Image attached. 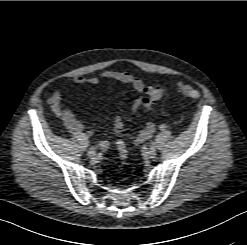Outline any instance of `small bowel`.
<instances>
[{
    "label": "small bowel",
    "instance_id": "obj_1",
    "mask_svg": "<svg viewBox=\"0 0 247 245\" xmlns=\"http://www.w3.org/2000/svg\"><path fill=\"white\" fill-rule=\"evenodd\" d=\"M101 79L114 80L119 83L131 86L138 94L137 98L132 104V112H137L140 109H143L145 112H151L152 103L149 98L145 96L146 91L148 90L145 83L136 77L135 75L119 70H105L99 76H77L74 78L73 82L76 85L90 84L97 85L100 83ZM49 105L52 112L62 121L64 126L74 134L86 133L91 135L90 130H86L84 124L78 120L73 112L64 107L62 94L59 91H55L49 98ZM123 127L122 118L120 115H115L113 132L118 133ZM155 125L153 122L149 121L146 123L144 128L140 131L138 136L134 141V147H137L147 141L153 133L155 132ZM100 147L103 150H106L109 147V142L103 140L100 142Z\"/></svg>",
    "mask_w": 247,
    "mask_h": 245
}]
</instances>
